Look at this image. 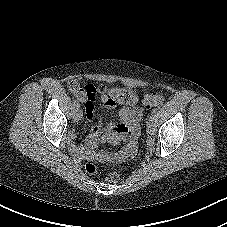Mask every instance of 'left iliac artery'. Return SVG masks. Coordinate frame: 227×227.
<instances>
[{"mask_svg":"<svg viewBox=\"0 0 227 227\" xmlns=\"http://www.w3.org/2000/svg\"><path fill=\"white\" fill-rule=\"evenodd\" d=\"M156 113H157V109H153V110L151 111V117L155 118Z\"/></svg>","mask_w":227,"mask_h":227,"instance_id":"obj_1","label":"left iliac artery"}]
</instances>
